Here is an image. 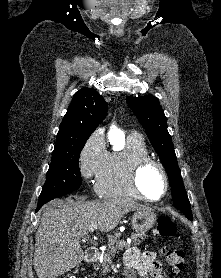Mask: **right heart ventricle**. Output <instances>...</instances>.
<instances>
[{"label":"right heart ventricle","instance_id":"1","mask_svg":"<svg viewBox=\"0 0 221 278\" xmlns=\"http://www.w3.org/2000/svg\"><path fill=\"white\" fill-rule=\"evenodd\" d=\"M146 156L149 150L143 137L129 135L124 149L108 152L105 167L96 178L97 191L105 197L139 198L131 187L129 172L134 160Z\"/></svg>","mask_w":221,"mask_h":278}]
</instances>
